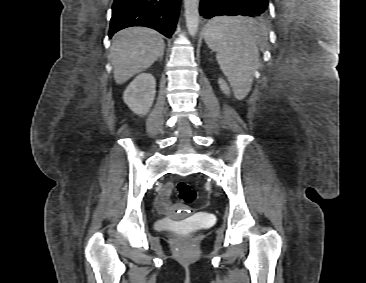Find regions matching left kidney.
Masks as SVG:
<instances>
[{
	"label": "left kidney",
	"mask_w": 366,
	"mask_h": 283,
	"mask_svg": "<svg viewBox=\"0 0 366 283\" xmlns=\"http://www.w3.org/2000/svg\"><path fill=\"white\" fill-rule=\"evenodd\" d=\"M220 89L223 91L224 94L230 95V88L228 87L226 81L224 79H219L218 81Z\"/></svg>",
	"instance_id": "1"
}]
</instances>
